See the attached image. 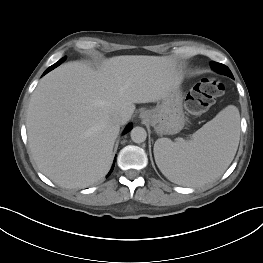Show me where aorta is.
Instances as JSON below:
<instances>
[{
    "label": "aorta",
    "instance_id": "762f6f07",
    "mask_svg": "<svg viewBox=\"0 0 263 263\" xmlns=\"http://www.w3.org/2000/svg\"><path fill=\"white\" fill-rule=\"evenodd\" d=\"M131 139L135 143H142L147 138V132L143 127H134L130 133Z\"/></svg>",
    "mask_w": 263,
    "mask_h": 263
}]
</instances>
